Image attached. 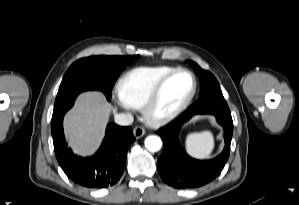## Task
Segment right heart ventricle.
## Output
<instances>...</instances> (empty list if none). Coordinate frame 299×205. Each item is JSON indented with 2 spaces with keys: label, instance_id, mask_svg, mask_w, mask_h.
I'll use <instances>...</instances> for the list:
<instances>
[{
  "label": "right heart ventricle",
  "instance_id": "right-heart-ventricle-1",
  "mask_svg": "<svg viewBox=\"0 0 299 205\" xmlns=\"http://www.w3.org/2000/svg\"><path fill=\"white\" fill-rule=\"evenodd\" d=\"M175 69L171 66H141L129 70L117 85L120 100L132 109H141L156 85Z\"/></svg>",
  "mask_w": 299,
  "mask_h": 205
}]
</instances>
